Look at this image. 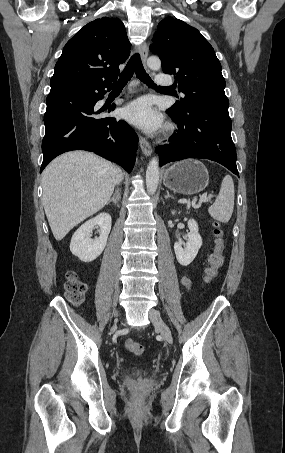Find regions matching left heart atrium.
Returning a JSON list of instances; mask_svg holds the SVG:
<instances>
[{"instance_id":"1","label":"left heart atrium","mask_w":285,"mask_h":453,"mask_svg":"<svg viewBox=\"0 0 285 453\" xmlns=\"http://www.w3.org/2000/svg\"><path fill=\"white\" fill-rule=\"evenodd\" d=\"M123 115L129 122L147 132L159 130L163 122L162 115L147 97L129 103L124 108Z\"/></svg>"}]
</instances>
